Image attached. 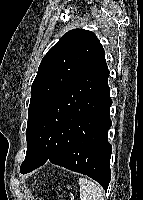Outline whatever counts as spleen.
Wrapping results in <instances>:
<instances>
[{
	"label": "spleen",
	"instance_id": "3e777b00",
	"mask_svg": "<svg viewBox=\"0 0 143 200\" xmlns=\"http://www.w3.org/2000/svg\"><path fill=\"white\" fill-rule=\"evenodd\" d=\"M78 184L81 200H104L103 190L96 182L87 178H80Z\"/></svg>",
	"mask_w": 143,
	"mask_h": 200
}]
</instances>
